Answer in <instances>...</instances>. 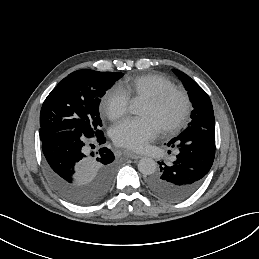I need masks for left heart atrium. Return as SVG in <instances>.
Returning <instances> with one entry per match:
<instances>
[{
  "mask_svg": "<svg viewBox=\"0 0 259 259\" xmlns=\"http://www.w3.org/2000/svg\"><path fill=\"white\" fill-rule=\"evenodd\" d=\"M161 132L160 124L152 117L126 118L110 129L113 141L123 147L142 150Z\"/></svg>",
  "mask_w": 259,
  "mask_h": 259,
  "instance_id": "left-heart-atrium-1",
  "label": "left heart atrium"
}]
</instances>
